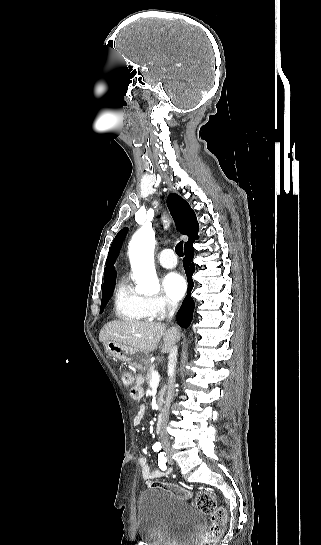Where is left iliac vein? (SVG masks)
Returning <instances> with one entry per match:
<instances>
[{
  "mask_svg": "<svg viewBox=\"0 0 321 545\" xmlns=\"http://www.w3.org/2000/svg\"><path fill=\"white\" fill-rule=\"evenodd\" d=\"M166 459H167V461H168L169 464H173V460H172V457H171V455H170L169 452L167 453Z\"/></svg>",
  "mask_w": 321,
  "mask_h": 545,
  "instance_id": "left-iliac-vein-1",
  "label": "left iliac vein"
}]
</instances>
